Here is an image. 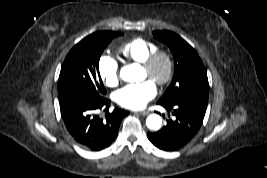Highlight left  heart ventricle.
Here are the masks:
<instances>
[{"instance_id":"1","label":"left heart ventricle","mask_w":267,"mask_h":178,"mask_svg":"<svg viewBox=\"0 0 267 178\" xmlns=\"http://www.w3.org/2000/svg\"><path fill=\"white\" fill-rule=\"evenodd\" d=\"M143 71V78H150L152 80H154L155 78H160L164 75L165 73V63L163 61H160L155 69L152 71V73L150 74L149 72H147L144 68L142 69Z\"/></svg>"}]
</instances>
